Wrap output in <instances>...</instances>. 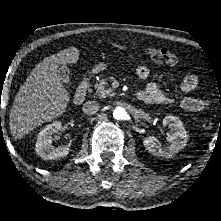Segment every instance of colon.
Returning a JSON list of instances; mask_svg holds the SVG:
<instances>
[{"label": "colon", "mask_w": 221, "mask_h": 221, "mask_svg": "<svg viewBox=\"0 0 221 221\" xmlns=\"http://www.w3.org/2000/svg\"><path fill=\"white\" fill-rule=\"evenodd\" d=\"M146 55L151 61L155 63L165 65H176L178 63V57L167 49L150 47L146 49ZM212 126L213 123L210 120H204L202 123V127L206 130L211 129Z\"/></svg>", "instance_id": "colon-1"}]
</instances>
